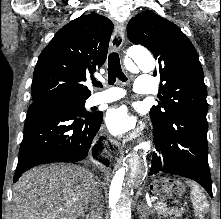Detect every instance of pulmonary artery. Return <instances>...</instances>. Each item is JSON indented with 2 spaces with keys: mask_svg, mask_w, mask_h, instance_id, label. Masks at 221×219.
Wrapping results in <instances>:
<instances>
[{
  "mask_svg": "<svg viewBox=\"0 0 221 219\" xmlns=\"http://www.w3.org/2000/svg\"><path fill=\"white\" fill-rule=\"evenodd\" d=\"M107 89L103 92L94 93L90 98L91 105H98L103 103H109L123 98L126 93L124 90L113 87L105 83ZM157 83L153 76L148 74H142L137 77V82L134 86V90L140 94H154L156 92Z\"/></svg>",
  "mask_w": 221,
  "mask_h": 219,
  "instance_id": "obj_1",
  "label": "pulmonary artery"
}]
</instances>
